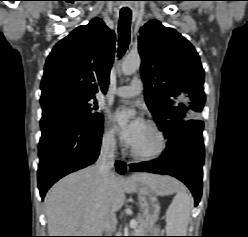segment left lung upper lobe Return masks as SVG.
Segmentation results:
<instances>
[{
	"instance_id": "1",
	"label": "left lung upper lobe",
	"mask_w": 248,
	"mask_h": 237,
	"mask_svg": "<svg viewBox=\"0 0 248 237\" xmlns=\"http://www.w3.org/2000/svg\"><path fill=\"white\" fill-rule=\"evenodd\" d=\"M138 45L146 104L169 138L177 126L202 112L204 70L193 45L159 21L140 29Z\"/></svg>"
}]
</instances>
